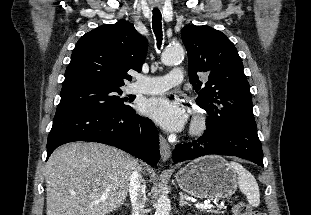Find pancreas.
Returning a JSON list of instances; mask_svg holds the SVG:
<instances>
[{"mask_svg":"<svg viewBox=\"0 0 311 215\" xmlns=\"http://www.w3.org/2000/svg\"><path fill=\"white\" fill-rule=\"evenodd\" d=\"M207 212H213V213H223V211H219V209L217 210H213V209H210V210H206Z\"/></svg>","mask_w":311,"mask_h":215,"instance_id":"pancreas-1","label":"pancreas"}]
</instances>
